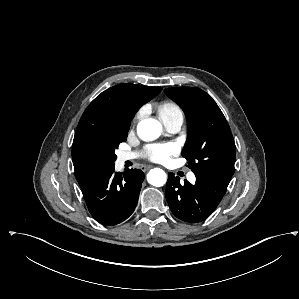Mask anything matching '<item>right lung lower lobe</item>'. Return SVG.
Segmentation results:
<instances>
[{"instance_id": "obj_1", "label": "right lung lower lobe", "mask_w": 299, "mask_h": 299, "mask_svg": "<svg viewBox=\"0 0 299 299\" xmlns=\"http://www.w3.org/2000/svg\"><path fill=\"white\" fill-rule=\"evenodd\" d=\"M144 173L127 169L114 173V166L80 186L91 215L100 223L116 225L134 211Z\"/></svg>"}]
</instances>
